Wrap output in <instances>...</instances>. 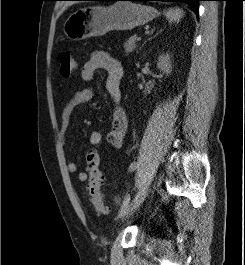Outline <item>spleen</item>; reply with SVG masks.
<instances>
[{
  "mask_svg": "<svg viewBox=\"0 0 245 265\" xmlns=\"http://www.w3.org/2000/svg\"><path fill=\"white\" fill-rule=\"evenodd\" d=\"M165 15L169 22H179L180 19L183 17L184 13L181 9L175 8L165 11Z\"/></svg>",
  "mask_w": 245,
  "mask_h": 265,
  "instance_id": "3e777b00",
  "label": "spleen"
}]
</instances>
